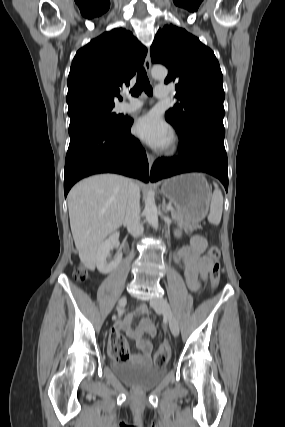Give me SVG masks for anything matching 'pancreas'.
I'll return each instance as SVG.
<instances>
[{"mask_svg":"<svg viewBox=\"0 0 285 427\" xmlns=\"http://www.w3.org/2000/svg\"><path fill=\"white\" fill-rule=\"evenodd\" d=\"M171 215L172 218L180 225H184L187 229H189L190 231L195 230L197 227L190 223L187 222L186 217L182 214V212H180L179 210H172L171 211Z\"/></svg>","mask_w":285,"mask_h":427,"instance_id":"obj_1","label":"pancreas"}]
</instances>
